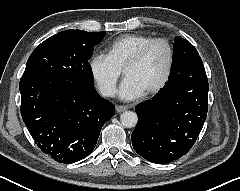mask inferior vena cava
I'll list each match as a JSON object with an SVG mask.
<instances>
[{"label":"inferior vena cava","instance_id":"1","mask_svg":"<svg viewBox=\"0 0 240 191\" xmlns=\"http://www.w3.org/2000/svg\"><path fill=\"white\" fill-rule=\"evenodd\" d=\"M104 96H110L112 97L114 95V90L113 89H106L101 92Z\"/></svg>","mask_w":240,"mask_h":191}]
</instances>
